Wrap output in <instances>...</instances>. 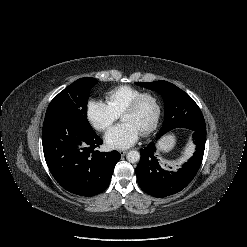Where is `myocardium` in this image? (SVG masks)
<instances>
[{
  "instance_id": "1",
  "label": "myocardium",
  "mask_w": 247,
  "mask_h": 247,
  "mask_svg": "<svg viewBox=\"0 0 247 247\" xmlns=\"http://www.w3.org/2000/svg\"><path fill=\"white\" fill-rule=\"evenodd\" d=\"M152 98L155 102V105H156V115H155V118L152 122V124L147 127L146 129H144L141 134L143 136H146V135H149L151 134L152 132H154L157 127L159 126V123H160V120H161V117H162V103H161V100L160 98L158 97L157 94L153 93V92H142L141 94H139L137 97H135L125 108L124 110L122 111L121 113V117L124 113H127V112H133L135 110L138 109V107L140 106L141 102L145 99V98Z\"/></svg>"
}]
</instances>
